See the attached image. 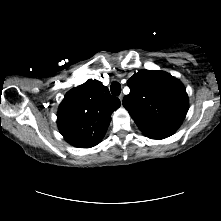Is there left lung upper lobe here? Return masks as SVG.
<instances>
[{"instance_id":"1","label":"left lung upper lobe","mask_w":221,"mask_h":221,"mask_svg":"<svg viewBox=\"0 0 221 221\" xmlns=\"http://www.w3.org/2000/svg\"><path fill=\"white\" fill-rule=\"evenodd\" d=\"M128 86L123 105L146 136L164 139L180 127L188 96L178 79L163 71L141 70L128 80Z\"/></svg>"}]
</instances>
